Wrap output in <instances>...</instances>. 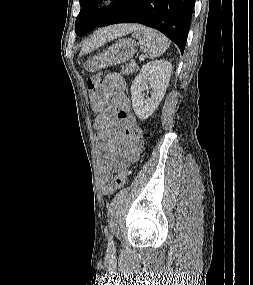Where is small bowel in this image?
Here are the masks:
<instances>
[{
	"instance_id": "c3829d8e",
	"label": "small bowel",
	"mask_w": 253,
	"mask_h": 285,
	"mask_svg": "<svg viewBox=\"0 0 253 285\" xmlns=\"http://www.w3.org/2000/svg\"><path fill=\"white\" fill-rule=\"evenodd\" d=\"M123 78L109 74L92 101L100 154V183L106 195L113 193V173L123 163L136 162L144 148L142 130L130 109Z\"/></svg>"
}]
</instances>
